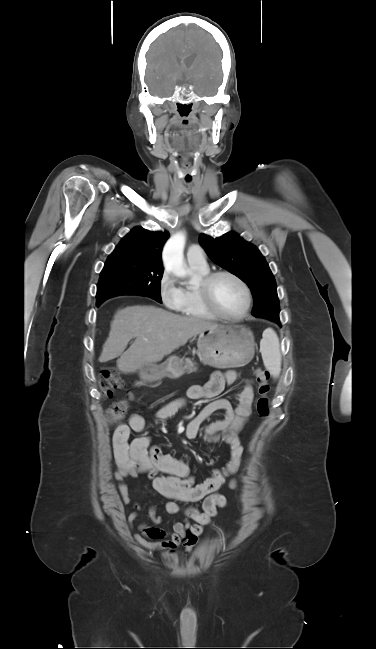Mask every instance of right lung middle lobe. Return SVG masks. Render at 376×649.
Here are the masks:
<instances>
[{
	"label": "right lung middle lobe",
	"mask_w": 376,
	"mask_h": 649,
	"mask_svg": "<svg viewBox=\"0 0 376 649\" xmlns=\"http://www.w3.org/2000/svg\"><path fill=\"white\" fill-rule=\"evenodd\" d=\"M163 269H152L149 261L132 256H109L100 273L96 306L117 295H142L162 302Z\"/></svg>",
	"instance_id": "right-lung-middle-lobe-1"
}]
</instances>
